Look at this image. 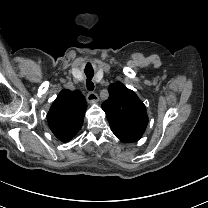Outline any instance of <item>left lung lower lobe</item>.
<instances>
[{"instance_id": "left-lung-lower-lobe-1", "label": "left lung lower lobe", "mask_w": 208, "mask_h": 208, "mask_svg": "<svg viewBox=\"0 0 208 208\" xmlns=\"http://www.w3.org/2000/svg\"><path fill=\"white\" fill-rule=\"evenodd\" d=\"M112 131L119 139L128 143L136 142L142 137V134L124 132L118 130H112Z\"/></svg>"}]
</instances>
